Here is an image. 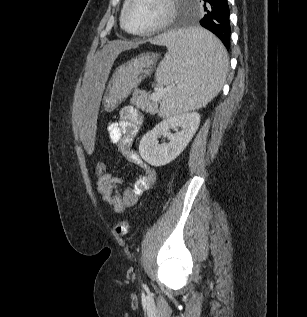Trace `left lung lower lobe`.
I'll return each mask as SVG.
<instances>
[{
	"label": "left lung lower lobe",
	"instance_id": "obj_1",
	"mask_svg": "<svg viewBox=\"0 0 307 317\" xmlns=\"http://www.w3.org/2000/svg\"><path fill=\"white\" fill-rule=\"evenodd\" d=\"M205 15L200 25L214 33L229 49L230 47V21L227 0H203Z\"/></svg>",
	"mask_w": 307,
	"mask_h": 317
}]
</instances>
